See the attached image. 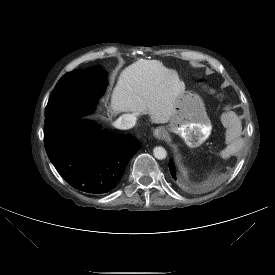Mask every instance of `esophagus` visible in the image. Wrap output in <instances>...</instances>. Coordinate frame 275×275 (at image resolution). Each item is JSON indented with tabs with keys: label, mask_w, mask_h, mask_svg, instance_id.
Masks as SVG:
<instances>
[{
	"label": "esophagus",
	"mask_w": 275,
	"mask_h": 275,
	"mask_svg": "<svg viewBox=\"0 0 275 275\" xmlns=\"http://www.w3.org/2000/svg\"><path fill=\"white\" fill-rule=\"evenodd\" d=\"M153 135L157 139H162L165 135V129L163 127H157L154 130Z\"/></svg>",
	"instance_id": "esophagus-1"
}]
</instances>
